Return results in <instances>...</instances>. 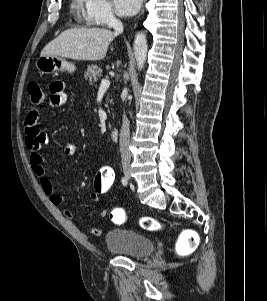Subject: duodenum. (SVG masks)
<instances>
[{
	"label": "duodenum",
	"instance_id": "duodenum-1",
	"mask_svg": "<svg viewBox=\"0 0 267 301\" xmlns=\"http://www.w3.org/2000/svg\"><path fill=\"white\" fill-rule=\"evenodd\" d=\"M119 138V129L118 128H113L111 131H110V139L112 141H115Z\"/></svg>",
	"mask_w": 267,
	"mask_h": 301
}]
</instances>
